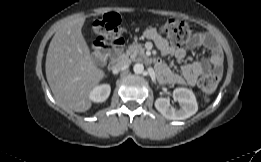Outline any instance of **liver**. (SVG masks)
Instances as JSON below:
<instances>
[{"instance_id": "obj_1", "label": "liver", "mask_w": 261, "mask_h": 162, "mask_svg": "<svg viewBox=\"0 0 261 162\" xmlns=\"http://www.w3.org/2000/svg\"><path fill=\"white\" fill-rule=\"evenodd\" d=\"M85 17L70 20L53 36L46 55V77L57 102L75 112H85L92 103L90 92L104 78L90 54L81 29Z\"/></svg>"}]
</instances>
